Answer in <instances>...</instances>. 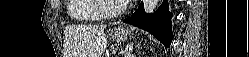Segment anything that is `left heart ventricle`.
<instances>
[{"instance_id": "left-heart-ventricle-1", "label": "left heart ventricle", "mask_w": 249, "mask_h": 57, "mask_svg": "<svg viewBox=\"0 0 249 57\" xmlns=\"http://www.w3.org/2000/svg\"><path fill=\"white\" fill-rule=\"evenodd\" d=\"M120 4H121V2L118 0H106L105 1V7H106L107 11L116 10Z\"/></svg>"}]
</instances>
